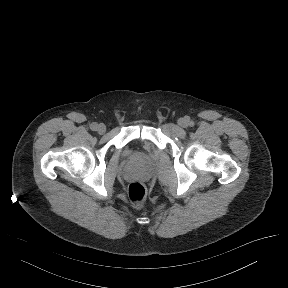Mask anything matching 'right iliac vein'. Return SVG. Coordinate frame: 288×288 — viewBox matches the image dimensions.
<instances>
[{
	"label": "right iliac vein",
	"mask_w": 288,
	"mask_h": 288,
	"mask_svg": "<svg viewBox=\"0 0 288 288\" xmlns=\"http://www.w3.org/2000/svg\"><path fill=\"white\" fill-rule=\"evenodd\" d=\"M97 131L99 134H104L106 131V126L104 124L97 125Z\"/></svg>",
	"instance_id": "obj_1"
}]
</instances>
